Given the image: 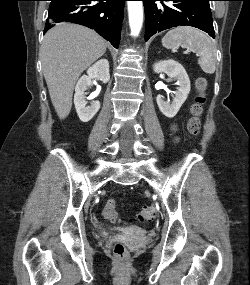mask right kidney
Listing matches in <instances>:
<instances>
[{"label": "right kidney", "mask_w": 250, "mask_h": 285, "mask_svg": "<svg viewBox=\"0 0 250 285\" xmlns=\"http://www.w3.org/2000/svg\"><path fill=\"white\" fill-rule=\"evenodd\" d=\"M92 79H99L103 83H107L110 80L109 62L106 59H101L89 67L87 75H83L76 84L74 104L79 119L82 122L90 121L100 109L99 101H92L87 106L85 100V91L91 86Z\"/></svg>", "instance_id": "right-kidney-1"}]
</instances>
